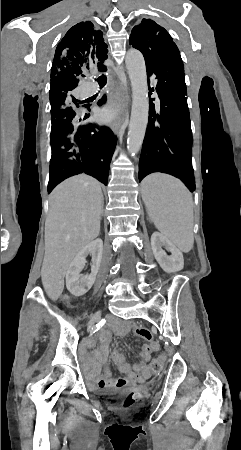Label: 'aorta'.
I'll return each instance as SVG.
<instances>
[{
    "label": "aorta",
    "mask_w": 241,
    "mask_h": 450,
    "mask_svg": "<svg viewBox=\"0 0 241 450\" xmlns=\"http://www.w3.org/2000/svg\"><path fill=\"white\" fill-rule=\"evenodd\" d=\"M125 62L133 95L127 149L134 156L142 147L148 124V82L144 57L140 51L128 50Z\"/></svg>",
    "instance_id": "obj_1"
}]
</instances>
